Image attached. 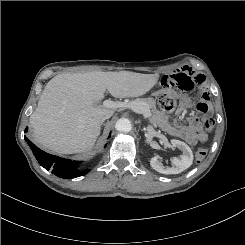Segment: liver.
<instances>
[{"mask_svg": "<svg viewBox=\"0 0 245 245\" xmlns=\"http://www.w3.org/2000/svg\"><path fill=\"white\" fill-rule=\"evenodd\" d=\"M159 74L129 71L64 73L45 86L30 116L35 142L60 154L90 151L100 135L102 118L116 108L97 103L106 90L115 98H134L147 93Z\"/></svg>", "mask_w": 245, "mask_h": 245, "instance_id": "1", "label": "liver"}]
</instances>
